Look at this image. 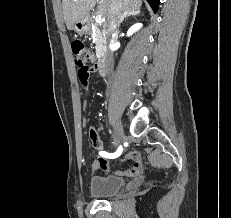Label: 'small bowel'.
Instances as JSON below:
<instances>
[{"label":"small bowel","mask_w":231,"mask_h":218,"mask_svg":"<svg viewBox=\"0 0 231 218\" xmlns=\"http://www.w3.org/2000/svg\"><path fill=\"white\" fill-rule=\"evenodd\" d=\"M97 67H98V64L93 63L92 66H83L82 69L77 70V73L79 75V80H80L82 89L84 91L88 89V79H89L90 74H93L94 68H97ZM89 137H90L93 147L98 152L97 158L91 162V168L94 170L102 169L103 171L109 172L111 170V165L109 161L106 159L107 157L100 154V152H102L103 150V142L101 140V137L98 131L92 127L89 131ZM124 159L128 161L129 164L125 168L116 170L115 174L118 176L139 175L143 167L142 157L136 152H130L129 154L126 155Z\"/></svg>","instance_id":"c3829d8e"}]
</instances>
